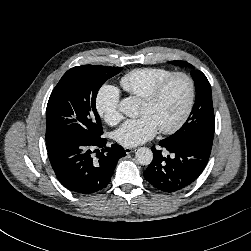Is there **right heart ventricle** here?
Masks as SVG:
<instances>
[{"instance_id":"obj_1","label":"right heart ventricle","mask_w":251,"mask_h":251,"mask_svg":"<svg viewBox=\"0 0 251 251\" xmlns=\"http://www.w3.org/2000/svg\"><path fill=\"white\" fill-rule=\"evenodd\" d=\"M172 74H174V72L166 68H139L124 75L120 80V84L129 94L143 99L158 84L163 82Z\"/></svg>"}]
</instances>
